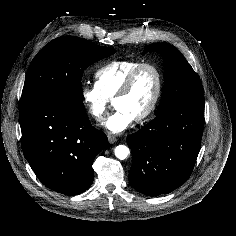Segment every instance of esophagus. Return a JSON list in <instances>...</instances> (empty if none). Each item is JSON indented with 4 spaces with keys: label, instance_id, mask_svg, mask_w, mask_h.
<instances>
[{
    "label": "esophagus",
    "instance_id": "1",
    "mask_svg": "<svg viewBox=\"0 0 236 236\" xmlns=\"http://www.w3.org/2000/svg\"><path fill=\"white\" fill-rule=\"evenodd\" d=\"M108 141H109L110 144H113L117 141V139L113 135H108Z\"/></svg>",
    "mask_w": 236,
    "mask_h": 236
}]
</instances>
